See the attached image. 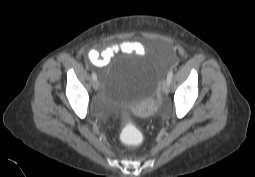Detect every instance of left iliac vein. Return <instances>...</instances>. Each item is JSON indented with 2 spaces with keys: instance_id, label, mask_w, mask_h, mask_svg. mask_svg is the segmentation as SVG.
Returning <instances> with one entry per match:
<instances>
[{
  "instance_id": "left-iliac-vein-1",
  "label": "left iliac vein",
  "mask_w": 255,
  "mask_h": 177,
  "mask_svg": "<svg viewBox=\"0 0 255 177\" xmlns=\"http://www.w3.org/2000/svg\"><path fill=\"white\" fill-rule=\"evenodd\" d=\"M162 91L164 94H168L170 92V84L167 81L164 82Z\"/></svg>"
}]
</instances>
